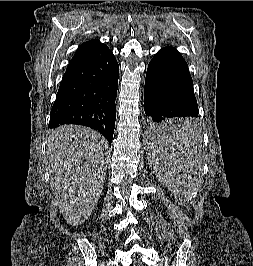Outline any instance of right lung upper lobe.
<instances>
[{
  "label": "right lung upper lobe",
  "mask_w": 253,
  "mask_h": 266,
  "mask_svg": "<svg viewBox=\"0 0 253 266\" xmlns=\"http://www.w3.org/2000/svg\"><path fill=\"white\" fill-rule=\"evenodd\" d=\"M105 48H107V46L98 39L84 42L79 46L68 66L89 59Z\"/></svg>",
  "instance_id": "cb5924a9"
}]
</instances>
